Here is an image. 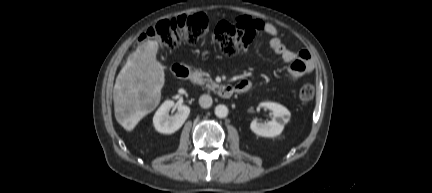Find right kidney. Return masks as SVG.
Segmentation results:
<instances>
[{
  "label": "right kidney",
  "instance_id": "right-kidney-1",
  "mask_svg": "<svg viewBox=\"0 0 432 193\" xmlns=\"http://www.w3.org/2000/svg\"><path fill=\"white\" fill-rule=\"evenodd\" d=\"M171 108L177 109L173 116H169ZM189 113L190 108L188 106L178 105L171 100H167L159 107L153 117L154 127L160 133L172 134L181 128Z\"/></svg>",
  "mask_w": 432,
  "mask_h": 193
}]
</instances>
